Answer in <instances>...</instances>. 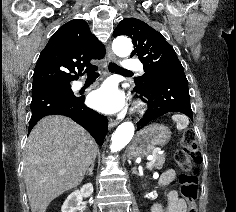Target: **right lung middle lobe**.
<instances>
[{
  "mask_svg": "<svg viewBox=\"0 0 236 212\" xmlns=\"http://www.w3.org/2000/svg\"><path fill=\"white\" fill-rule=\"evenodd\" d=\"M56 87L60 89L63 93H65L66 95L70 97H75V95L73 94V91L71 90L70 85H62V86H56Z\"/></svg>",
  "mask_w": 236,
  "mask_h": 212,
  "instance_id": "dd1d6c3e",
  "label": "right lung middle lobe"
}]
</instances>
